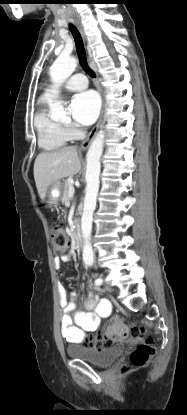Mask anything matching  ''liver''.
Returning a JSON list of instances; mask_svg holds the SVG:
<instances>
[{
  "label": "liver",
  "mask_w": 187,
  "mask_h": 415,
  "mask_svg": "<svg viewBox=\"0 0 187 415\" xmlns=\"http://www.w3.org/2000/svg\"><path fill=\"white\" fill-rule=\"evenodd\" d=\"M81 169L77 148L64 147L52 152L40 153L34 162V179L38 194L42 200L48 187L68 176L75 175Z\"/></svg>",
  "instance_id": "liver-1"
}]
</instances>
